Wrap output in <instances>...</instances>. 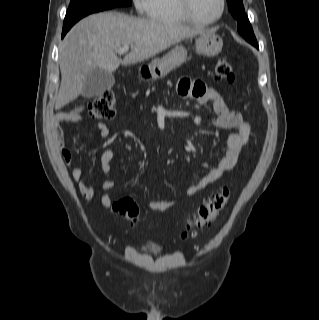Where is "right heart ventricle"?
<instances>
[{"mask_svg":"<svg viewBox=\"0 0 319 320\" xmlns=\"http://www.w3.org/2000/svg\"><path fill=\"white\" fill-rule=\"evenodd\" d=\"M148 15L154 21L167 24L191 23L183 14L179 0H153Z\"/></svg>","mask_w":319,"mask_h":320,"instance_id":"right-heart-ventricle-1","label":"right heart ventricle"}]
</instances>
